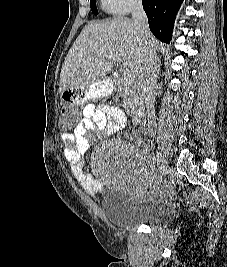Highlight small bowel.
Instances as JSON below:
<instances>
[{
	"label": "small bowel",
	"mask_w": 227,
	"mask_h": 267,
	"mask_svg": "<svg viewBox=\"0 0 227 267\" xmlns=\"http://www.w3.org/2000/svg\"><path fill=\"white\" fill-rule=\"evenodd\" d=\"M126 126L124 112L113 105L95 106L86 104L82 109V118L72 132H63L61 140L64 143L63 153L69 162L72 175L89 195H97L102 190V183L85 171L84 155L90 142L122 131ZM139 183L136 192L141 196L154 194L155 188L148 179L147 171L139 173Z\"/></svg>",
	"instance_id": "small-bowel-1"
}]
</instances>
